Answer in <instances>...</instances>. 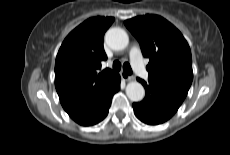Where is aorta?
I'll return each instance as SVG.
<instances>
[{
	"mask_svg": "<svg viewBox=\"0 0 230 155\" xmlns=\"http://www.w3.org/2000/svg\"><path fill=\"white\" fill-rule=\"evenodd\" d=\"M105 41L111 49L123 50L127 47L129 38L122 28L114 27L106 32ZM126 95L133 102L141 101L145 95L144 87L137 81L129 82L126 86Z\"/></svg>",
	"mask_w": 230,
	"mask_h": 155,
	"instance_id": "1",
	"label": "aorta"
}]
</instances>
